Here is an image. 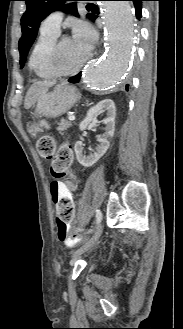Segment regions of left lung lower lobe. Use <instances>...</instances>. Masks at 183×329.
<instances>
[{
    "label": "left lung lower lobe",
    "mask_w": 183,
    "mask_h": 329,
    "mask_svg": "<svg viewBox=\"0 0 183 329\" xmlns=\"http://www.w3.org/2000/svg\"><path fill=\"white\" fill-rule=\"evenodd\" d=\"M133 1L135 6L136 17L139 19L141 17V9H142V1L144 0H130ZM96 16H93V20H95ZM81 73L71 77L68 81L71 83H78L80 80ZM128 84L126 85V89H128Z\"/></svg>",
    "instance_id": "left-lung-lower-lobe-1"
}]
</instances>
